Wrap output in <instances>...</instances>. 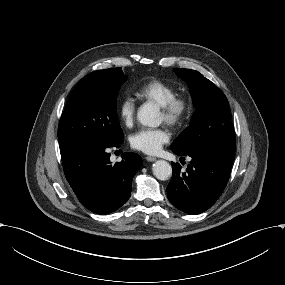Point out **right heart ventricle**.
Masks as SVG:
<instances>
[{
	"label": "right heart ventricle",
	"mask_w": 285,
	"mask_h": 285,
	"mask_svg": "<svg viewBox=\"0 0 285 285\" xmlns=\"http://www.w3.org/2000/svg\"><path fill=\"white\" fill-rule=\"evenodd\" d=\"M175 92L176 87L173 83L162 79H151L137 88L136 96L142 101L153 102L160 106Z\"/></svg>",
	"instance_id": "1"
}]
</instances>
